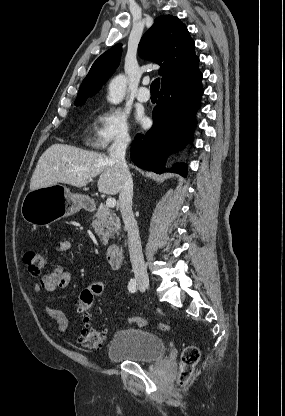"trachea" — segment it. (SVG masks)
Returning a JSON list of instances; mask_svg holds the SVG:
<instances>
[{
    "instance_id": "obj_1",
    "label": "trachea",
    "mask_w": 285,
    "mask_h": 416,
    "mask_svg": "<svg viewBox=\"0 0 285 416\" xmlns=\"http://www.w3.org/2000/svg\"><path fill=\"white\" fill-rule=\"evenodd\" d=\"M159 85H160V78H156L152 83L150 87L151 92H159Z\"/></svg>"
}]
</instances>
